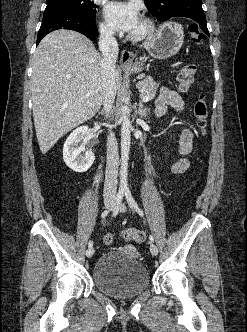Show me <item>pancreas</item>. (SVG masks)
Wrapping results in <instances>:
<instances>
[{"mask_svg":"<svg viewBox=\"0 0 247 332\" xmlns=\"http://www.w3.org/2000/svg\"><path fill=\"white\" fill-rule=\"evenodd\" d=\"M136 86L142 97L149 96L150 99H154L157 95V85L150 77L138 82Z\"/></svg>","mask_w":247,"mask_h":332,"instance_id":"obj_1","label":"pancreas"}]
</instances>
